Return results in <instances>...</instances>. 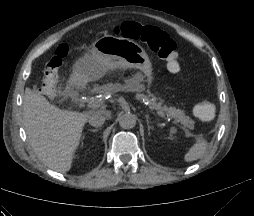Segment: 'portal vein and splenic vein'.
<instances>
[{
    "mask_svg": "<svg viewBox=\"0 0 254 216\" xmlns=\"http://www.w3.org/2000/svg\"><path fill=\"white\" fill-rule=\"evenodd\" d=\"M102 104H103V102H102L101 100L92 98V99L88 102L87 107H88V108H91V109H95V108L100 107ZM156 113H157L160 117L166 119V115H165L163 112H161V111H156Z\"/></svg>",
    "mask_w": 254,
    "mask_h": 216,
    "instance_id": "obj_1",
    "label": "portal vein and splenic vein"
}]
</instances>
